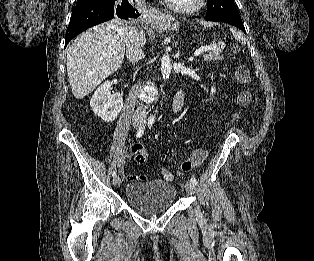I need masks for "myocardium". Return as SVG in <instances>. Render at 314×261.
<instances>
[{
  "label": "myocardium",
  "mask_w": 314,
  "mask_h": 261,
  "mask_svg": "<svg viewBox=\"0 0 314 261\" xmlns=\"http://www.w3.org/2000/svg\"><path fill=\"white\" fill-rule=\"evenodd\" d=\"M207 0H194L192 3L188 4V5H182L179 4L177 2L174 1H167L168 6L178 12V13H182V14H193V13H197L198 11H200L206 4Z\"/></svg>",
  "instance_id": "f54148a6"
}]
</instances>
